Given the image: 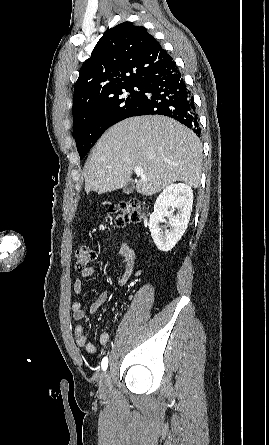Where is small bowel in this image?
Instances as JSON below:
<instances>
[{"instance_id":"obj_1","label":"small bowel","mask_w":269,"mask_h":445,"mask_svg":"<svg viewBox=\"0 0 269 445\" xmlns=\"http://www.w3.org/2000/svg\"><path fill=\"white\" fill-rule=\"evenodd\" d=\"M113 249L111 244L107 245L104 249L105 252H110ZM119 254L121 257V262L123 264V272L118 276L117 283L120 286L125 285L136 264V255L133 248L126 242H121L119 245ZM95 273V269L93 267H88L81 271V276L83 278H88ZM73 291L75 294L80 295L83 293V283L81 279H76L73 283ZM108 293L103 291L100 293L98 298L91 304L89 308V312L91 316H94L98 309L107 301ZM72 312L73 319L75 321H81L84 319L86 315V310L81 301H74L72 303ZM75 341L79 347L85 349V351L89 354H93L97 351V346L88 341L87 336L84 331V327L81 324H77L74 328ZM109 340V333L107 330H103L99 337V342L101 345H104Z\"/></svg>"}]
</instances>
